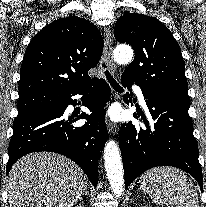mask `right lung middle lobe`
Listing matches in <instances>:
<instances>
[{
    "label": "right lung middle lobe",
    "mask_w": 206,
    "mask_h": 207,
    "mask_svg": "<svg viewBox=\"0 0 206 207\" xmlns=\"http://www.w3.org/2000/svg\"><path fill=\"white\" fill-rule=\"evenodd\" d=\"M60 106V97L58 94H34L20 97L18 100L17 117L45 110L58 108Z\"/></svg>",
    "instance_id": "dd1d6c3e"
}]
</instances>
